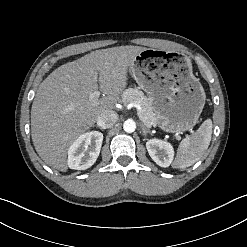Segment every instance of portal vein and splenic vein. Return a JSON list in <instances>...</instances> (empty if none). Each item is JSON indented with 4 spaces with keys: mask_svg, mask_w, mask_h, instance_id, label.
Wrapping results in <instances>:
<instances>
[{
    "mask_svg": "<svg viewBox=\"0 0 247 247\" xmlns=\"http://www.w3.org/2000/svg\"><path fill=\"white\" fill-rule=\"evenodd\" d=\"M99 96H100V92H99V91H95V92H93V93L89 96V99H90L91 101L95 102L96 100H98ZM138 116H139V118H140L142 121H144V120H143V117H142V115H141V111L138 112ZM146 125H147L148 127L151 126V124H146ZM174 136H175L176 138L179 137L178 135H174Z\"/></svg>",
    "mask_w": 247,
    "mask_h": 247,
    "instance_id": "obj_1",
    "label": "portal vein and splenic vein"
}]
</instances>
